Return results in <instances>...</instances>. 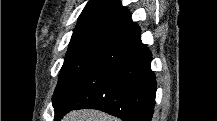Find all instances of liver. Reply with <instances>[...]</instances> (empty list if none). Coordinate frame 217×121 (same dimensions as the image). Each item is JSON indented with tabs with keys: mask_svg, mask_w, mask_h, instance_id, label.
Instances as JSON below:
<instances>
[{
	"mask_svg": "<svg viewBox=\"0 0 217 121\" xmlns=\"http://www.w3.org/2000/svg\"><path fill=\"white\" fill-rule=\"evenodd\" d=\"M63 121H118V119L96 110L84 109L68 113Z\"/></svg>",
	"mask_w": 217,
	"mask_h": 121,
	"instance_id": "1",
	"label": "liver"
}]
</instances>
